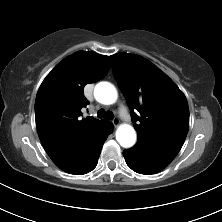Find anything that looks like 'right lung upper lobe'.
I'll list each match as a JSON object with an SVG mask.
<instances>
[{"label":"right lung upper lobe","mask_w":222,"mask_h":222,"mask_svg":"<svg viewBox=\"0 0 222 222\" xmlns=\"http://www.w3.org/2000/svg\"><path fill=\"white\" fill-rule=\"evenodd\" d=\"M110 69L107 56L78 51L63 59L44 79L36 96L35 119L40 140L53 162L75 164L88 153L90 140L111 126L107 120L82 119L88 104L83 89Z\"/></svg>","instance_id":"1"}]
</instances>
